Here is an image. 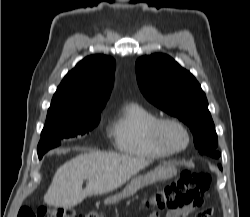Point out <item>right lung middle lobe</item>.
Listing matches in <instances>:
<instances>
[{
  "instance_id": "right-lung-middle-lobe-1",
  "label": "right lung middle lobe",
  "mask_w": 250,
  "mask_h": 217,
  "mask_svg": "<svg viewBox=\"0 0 250 217\" xmlns=\"http://www.w3.org/2000/svg\"><path fill=\"white\" fill-rule=\"evenodd\" d=\"M100 112L101 110H96L84 114L47 118L37 147L39 158L41 159L49 149L59 146L61 139L84 135L93 130L100 121Z\"/></svg>"
}]
</instances>
